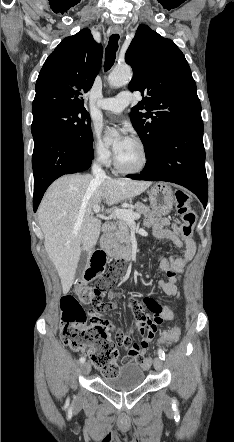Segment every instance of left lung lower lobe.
I'll return each instance as SVG.
<instances>
[{"instance_id": "left-lung-lower-lobe-1", "label": "left lung lower lobe", "mask_w": 234, "mask_h": 442, "mask_svg": "<svg viewBox=\"0 0 234 442\" xmlns=\"http://www.w3.org/2000/svg\"><path fill=\"white\" fill-rule=\"evenodd\" d=\"M135 180L167 181L182 185L207 204L208 184L205 170L202 118L182 122L169 129L144 171L130 175Z\"/></svg>"}]
</instances>
